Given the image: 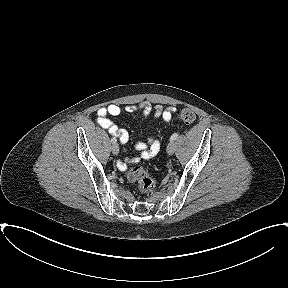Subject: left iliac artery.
Masks as SVG:
<instances>
[{"instance_id": "obj_1", "label": "left iliac artery", "mask_w": 288, "mask_h": 288, "mask_svg": "<svg viewBox=\"0 0 288 288\" xmlns=\"http://www.w3.org/2000/svg\"><path fill=\"white\" fill-rule=\"evenodd\" d=\"M178 135H179L178 133H174V134L171 136L170 141L176 140L177 137H178Z\"/></svg>"}]
</instances>
